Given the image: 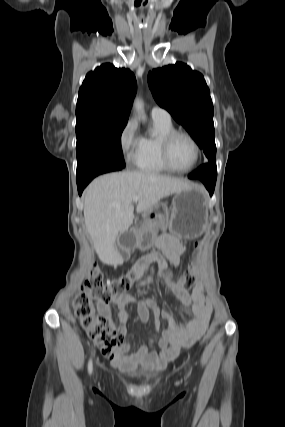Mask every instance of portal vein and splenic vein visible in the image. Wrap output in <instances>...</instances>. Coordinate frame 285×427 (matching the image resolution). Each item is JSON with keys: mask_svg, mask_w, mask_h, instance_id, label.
Wrapping results in <instances>:
<instances>
[{"mask_svg": "<svg viewBox=\"0 0 285 427\" xmlns=\"http://www.w3.org/2000/svg\"><path fill=\"white\" fill-rule=\"evenodd\" d=\"M139 200V197L138 196H134L133 197V202H137Z\"/></svg>", "mask_w": 285, "mask_h": 427, "instance_id": "1", "label": "portal vein and splenic vein"}]
</instances>
